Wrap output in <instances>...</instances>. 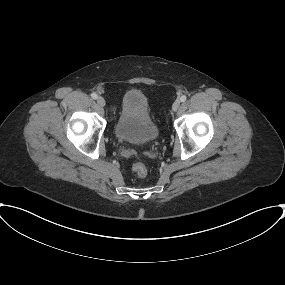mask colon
<instances>
[{
  "instance_id": "1",
  "label": "colon",
  "mask_w": 285,
  "mask_h": 285,
  "mask_svg": "<svg viewBox=\"0 0 285 285\" xmlns=\"http://www.w3.org/2000/svg\"><path fill=\"white\" fill-rule=\"evenodd\" d=\"M133 172L140 178H144L148 174V170L143 163L137 162L132 166Z\"/></svg>"
}]
</instances>
